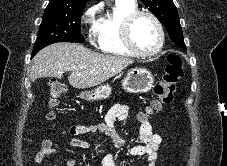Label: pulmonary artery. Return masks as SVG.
<instances>
[{
  "instance_id": "1",
  "label": "pulmonary artery",
  "mask_w": 227,
  "mask_h": 166,
  "mask_svg": "<svg viewBox=\"0 0 227 166\" xmlns=\"http://www.w3.org/2000/svg\"><path fill=\"white\" fill-rule=\"evenodd\" d=\"M120 1H131V2H134V0H120Z\"/></svg>"
}]
</instances>
